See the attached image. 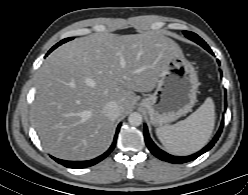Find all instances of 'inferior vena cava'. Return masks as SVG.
I'll list each match as a JSON object with an SVG mask.
<instances>
[{
	"label": "inferior vena cava",
	"instance_id": "1",
	"mask_svg": "<svg viewBox=\"0 0 248 195\" xmlns=\"http://www.w3.org/2000/svg\"><path fill=\"white\" fill-rule=\"evenodd\" d=\"M103 113L111 120L117 119L120 116L119 104L114 100L107 102L103 108Z\"/></svg>",
	"mask_w": 248,
	"mask_h": 195
}]
</instances>
